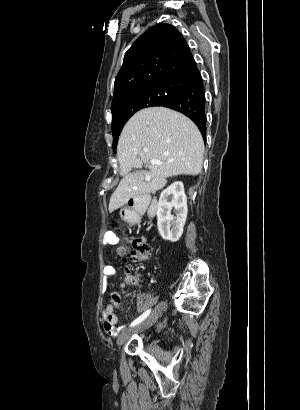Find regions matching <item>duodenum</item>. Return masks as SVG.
Returning a JSON list of instances; mask_svg holds the SVG:
<instances>
[{
  "label": "duodenum",
  "mask_w": 300,
  "mask_h": 410,
  "mask_svg": "<svg viewBox=\"0 0 300 410\" xmlns=\"http://www.w3.org/2000/svg\"><path fill=\"white\" fill-rule=\"evenodd\" d=\"M157 204L148 200L147 198H136L129 207L128 221L131 223H137L145 216H153L157 211Z\"/></svg>",
  "instance_id": "obj_1"
}]
</instances>
